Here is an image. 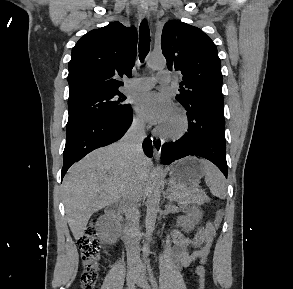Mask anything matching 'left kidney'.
Instances as JSON below:
<instances>
[{
	"label": "left kidney",
	"instance_id": "obj_1",
	"mask_svg": "<svg viewBox=\"0 0 293 289\" xmlns=\"http://www.w3.org/2000/svg\"><path fill=\"white\" fill-rule=\"evenodd\" d=\"M198 220L191 216H182L179 218V224L183 227L185 232L191 231L194 229Z\"/></svg>",
	"mask_w": 293,
	"mask_h": 289
}]
</instances>
